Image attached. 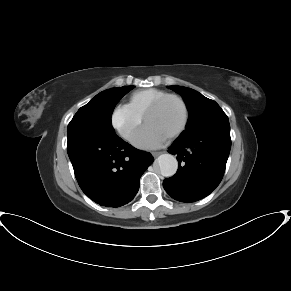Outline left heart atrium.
Segmentation results:
<instances>
[{
  "label": "left heart atrium",
  "instance_id": "left-heart-atrium-1",
  "mask_svg": "<svg viewBox=\"0 0 291 291\" xmlns=\"http://www.w3.org/2000/svg\"><path fill=\"white\" fill-rule=\"evenodd\" d=\"M167 136L160 133L150 125H145L137 132L133 141L134 144L141 148H152L162 145Z\"/></svg>",
  "mask_w": 291,
  "mask_h": 291
}]
</instances>
